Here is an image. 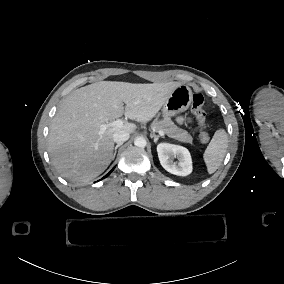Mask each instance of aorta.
Listing matches in <instances>:
<instances>
[{
	"instance_id": "762f6f07",
	"label": "aorta",
	"mask_w": 284,
	"mask_h": 284,
	"mask_svg": "<svg viewBox=\"0 0 284 284\" xmlns=\"http://www.w3.org/2000/svg\"><path fill=\"white\" fill-rule=\"evenodd\" d=\"M147 142L145 140V138L143 137H137L135 140H134V145L139 147V148H144L146 146Z\"/></svg>"
}]
</instances>
